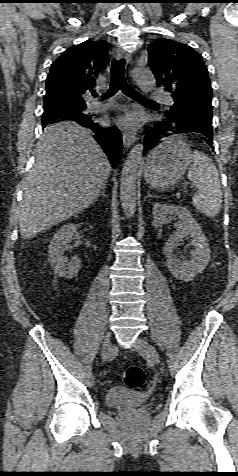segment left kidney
I'll list each match as a JSON object with an SVG mask.
<instances>
[{
	"instance_id": "left-kidney-1",
	"label": "left kidney",
	"mask_w": 238,
	"mask_h": 476,
	"mask_svg": "<svg viewBox=\"0 0 238 476\" xmlns=\"http://www.w3.org/2000/svg\"><path fill=\"white\" fill-rule=\"evenodd\" d=\"M153 226L161 228L169 222L171 216H178L180 222L177 231L166 242L163 253L166 265L173 276L184 282L193 280L201 273L210 261L209 243L198 223L186 207L166 203H156L153 207ZM192 237L195 249L189 261H181L173 255L174 248L187 236Z\"/></svg>"
}]
</instances>
